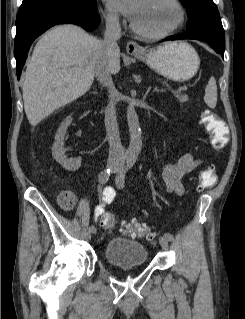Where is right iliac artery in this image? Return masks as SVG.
<instances>
[{"label": "right iliac artery", "instance_id": "right-iliac-artery-1", "mask_svg": "<svg viewBox=\"0 0 245 319\" xmlns=\"http://www.w3.org/2000/svg\"><path fill=\"white\" fill-rule=\"evenodd\" d=\"M110 174H111V170H110L109 168L103 170V171L100 173V175H99V182H100L101 184H105V183L108 181V179H109V177H110ZM111 192H112V189H111L110 187H106V188L104 189L103 195H105L106 198H107V196H110ZM113 198H114V196H113L112 198H109V199H108V202L111 203L112 200H113ZM89 230H90L92 233H95V232H96V228H95L94 226H90V227H89Z\"/></svg>", "mask_w": 245, "mask_h": 319}]
</instances>
